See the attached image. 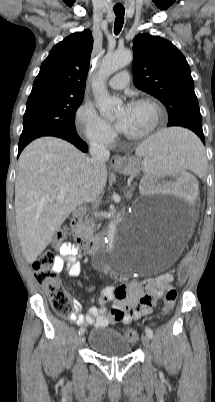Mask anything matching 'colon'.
<instances>
[{
	"instance_id": "1",
	"label": "colon",
	"mask_w": 215,
	"mask_h": 402,
	"mask_svg": "<svg viewBox=\"0 0 215 402\" xmlns=\"http://www.w3.org/2000/svg\"><path fill=\"white\" fill-rule=\"evenodd\" d=\"M64 238V231L59 230L55 235L52 244L58 245ZM194 247V246H193ZM198 251H187L186 258L183 260L180 269L179 277L181 280L185 279L190 260H198ZM55 255L52 250L44 251L33 263L34 276L37 282L47 291L53 310L61 316L67 315L69 312V299L63 290L57 272L54 270ZM177 292L175 289H168L164 296L165 309L169 310L175 303ZM123 336L129 342H136L138 339L137 332L128 328L124 330Z\"/></svg>"
}]
</instances>
